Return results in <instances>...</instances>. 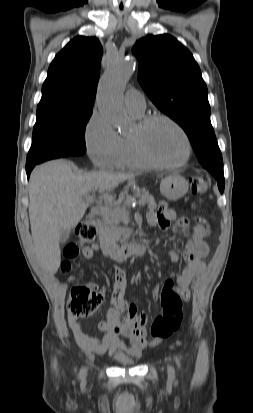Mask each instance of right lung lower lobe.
Instances as JSON below:
<instances>
[{"instance_id": "1", "label": "right lung lower lobe", "mask_w": 253, "mask_h": 413, "mask_svg": "<svg viewBox=\"0 0 253 413\" xmlns=\"http://www.w3.org/2000/svg\"><path fill=\"white\" fill-rule=\"evenodd\" d=\"M35 165H36V164H31V165H27V166H26V173H27V177H28V178H29L30 173H31V171H32V169L34 168Z\"/></svg>"}]
</instances>
